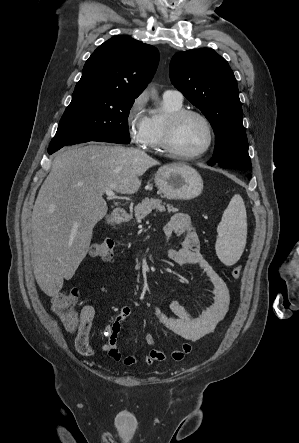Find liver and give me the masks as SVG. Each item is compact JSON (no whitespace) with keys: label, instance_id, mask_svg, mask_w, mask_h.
<instances>
[{"label":"liver","instance_id":"6515ba94","mask_svg":"<svg viewBox=\"0 0 299 443\" xmlns=\"http://www.w3.org/2000/svg\"><path fill=\"white\" fill-rule=\"evenodd\" d=\"M159 162L137 148L90 144L60 151L35 201L31 230L37 284L58 295L85 258L94 226L107 213L106 190L135 194Z\"/></svg>","mask_w":299,"mask_h":443}]
</instances>
